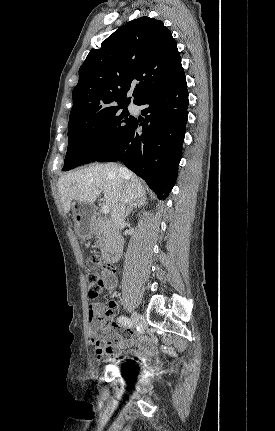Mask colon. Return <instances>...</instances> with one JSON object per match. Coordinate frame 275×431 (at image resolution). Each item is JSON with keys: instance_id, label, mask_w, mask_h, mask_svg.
Masks as SVG:
<instances>
[{"instance_id": "obj_1", "label": "colon", "mask_w": 275, "mask_h": 431, "mask_svg": "<svg viewBox=\"0 0 275 431\" xmlns=\"http://www.w3.org/2000/svg\"><path fill=\"white\" fill-rule=\"evenodd\" d=\"M92 261L94 264V269L87 274V286L89 297L93 300H96L99 298L100 294L105 289V280L99 271L101 270L106 273H111L113 271V268L110 264L105 263L98 256H93ZM112 305L113 303L111 302L109 304V308L106 311H102L98 315V322L100 327L106 326L108 322V313Z\"/></svg>"}]
</instances>
